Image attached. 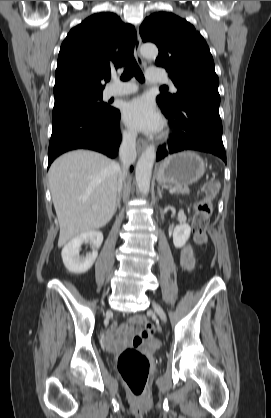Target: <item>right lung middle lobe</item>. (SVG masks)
Listing matches in <instances>:
<instances>
[{
  "mask_svg": "<svg viewBox=\"0 0 271 418\" xmlns=\"http://www.w3.org/2000/svg\"><path fill=\"white\" fill-rule=\"evenodd\" d=\"M112 109L113 107L102 102V93L74 96L60 101H55L53 108V121L69 115Z\"/></svg>",
  "mask_w": 271,
  "mask_h": 418,
  "instance_id": "dd1d6c3e",
  "label": "right lung middle lobe"
}]
</instances>
